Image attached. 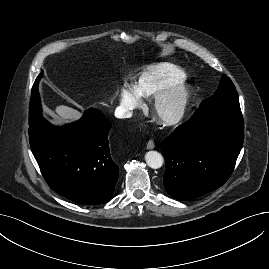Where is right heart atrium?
Here are the masks:
<instances>
[{"label": "right heart atrium", "instance_id": "right-heart-atrium-1", "mask_svg": "<svg viewBox=\"0 0 269 269\" xmlns=\"http://www.w3.org/2000/svg\"><path fill=\"white\" fill-rule=\"evenodd\" d=\"M119 103L123 113H130L140 107L141 99L133 88L123 86L119 90Z\"/></svg>", "mask_w": 269, "mask_h": 269}]
</instances>
